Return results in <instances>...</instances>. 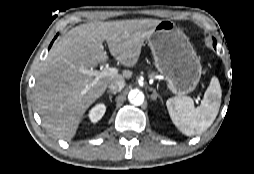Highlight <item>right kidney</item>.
<instances>
[{
    "label": "right kidney",
    "instance_id": "ca27d5eb",
    "mask_svg": "<svg viewBox=\"0 0 254 174\" xmlns=\"http://www.w3.org/2000/svg\"><path fill=\"white\" fill-rule=\"evenodd\" d=\"M105 111L106 106L104 104H97L90 110L88 114L90 121L93 123L98 122L103 117Z\"/></svg>",
    "mask_w": 254,
    "mask_h": 174
}]
</instances>
